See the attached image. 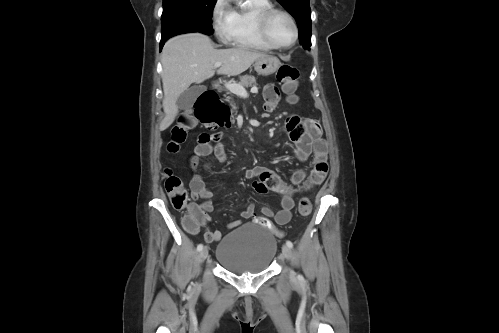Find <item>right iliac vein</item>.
<instances>
[{"mask_svg":"<svg viewBox=\"0 0 499 333\" xmlns=\"http://www.w3.org/2000/svg\"><path fill=\"white\" fill-rule=\"evenodd\" d=\"M208 253H209V251H208V247H207V246H205V247L201 250V252H200V258H201L202 260H205V259L208 257Z\"/></svg>","mask_w":499,"mask_h":333,"instance_id":"right-iliac-vein-1","label":"right iliac vein"}]
</instances>
